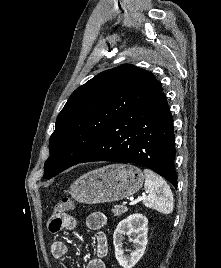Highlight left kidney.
I'll list each match as a JSON object with an SVG mask.
<instances>
[{
    "instance_id": "5707ae66",
    "label": "left kidney",
    "mask_w": 221,
    "mask_h": 268,
    "mask_svg": "<svg viewBox=\"0 0 221 268\" xmlns=\"http://www.w3.org/2000/svg\"><path fill=\"white\" fill-rule=\"evenodd\" d=\"M148 219L142 214H133L123 219L117 225L113 234V244L115 247V257L123 268H132L143 256L147 245ZM130 237L134 250L130 256L124 254V235ZM133 236L134 238H131Z\"/></svg>"
}]
</instances>
